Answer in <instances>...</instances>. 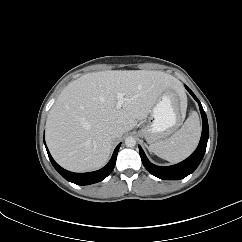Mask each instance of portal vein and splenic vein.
Segmentation results:
<instances>
[{"mask_svg":"<svg viewBox=\"0 0 242 242\" xmlns=\"http://www.w3.org/2000/svg\"><path fill=\"white\" fill-rule=\"evenodd\" d=\"M127 99L124 97V94L121 92L117 93V103H116V108L120 109L123 105V103L126 101Z\"/></svg>","mask_w":242,"mask_h":242,"instance_id":"1","label":"portal vein and splenic vein"}]
</instances>
